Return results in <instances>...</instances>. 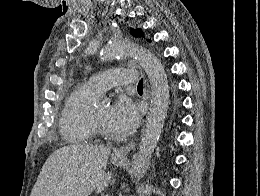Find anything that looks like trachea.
Wrapping results in <instances>:
<instances>
[{"label": "trachea", "instance_id": "trachea-1", "mask_svg": "<svg viewBox=\"0 0 260 196\" xmlns=\"http://www.w3.org/2000/svg\"><path fill=\"white\" fill-rule=\"evenodd\" d=\"M142 88H143V80H140L137 89H142Z\"/></svg>", "mask_w": 260, "mask_h": 196}]
</instances>
